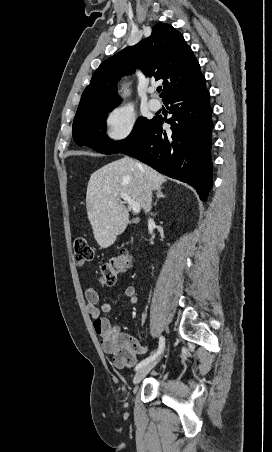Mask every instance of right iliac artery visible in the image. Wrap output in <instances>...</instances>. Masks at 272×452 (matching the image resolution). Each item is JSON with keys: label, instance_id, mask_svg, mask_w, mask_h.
<instances>
[{"label": "right iliac artery", "instance_id": "obj_1", "mask_svg": "<svg viewBox=\"0 0 272 452\" xmlns=\"http://www.w3.org/2000/svg\"><path fill=\"white\" fill-rule=\"evenodd\" d=\"M164 346H165V339H164L163 336H160V338H159V347H158V350H157L154 354H152V355H150L149 357H147L146 359L142 360V361L136 366L135 370H138V369H140L141 367H143V366L147 365L148 363L152 362L153 360H155V359L162 353V351H163V349H164Z\"/></svg>", "mask_w": 272, "mask_h": 452}]
</instances>
